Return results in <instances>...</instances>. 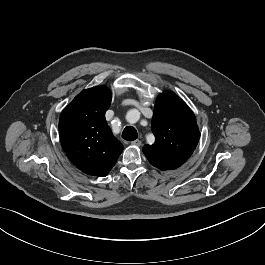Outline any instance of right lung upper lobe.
Here are the masks:
<instances>
[{
	"label": "right lung upper lobe",
	"instance_id": "1",
	"mask_svg": "<svg viewBox=\"0 0 265 265\" xmlns=\"http://www.w3.org/2000/svg\"><path fill=\"white\" fill-rule=\"evenodd\" d=\"M110 103L107 87H93L80 92L60 116L62 147L70 161L88 175L106 176L123 151L106 123Z\"/></svg>",
	"mask_w": 265,
	"mask_h": 265
}]
</instances>
